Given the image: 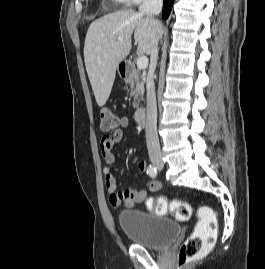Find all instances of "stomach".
<instances>
[{
    "label": "stomach",
    "instance_id": "1",
    "mask_svg": "<svg viewBox=\"0 0 265 269\" xmlns=\"http://www.w3.org/2000/svg\"><path fill=\"white\" fill-rule=\"evenodd\" d=\"M120 64H121V63L118 64V67H117L118 69H119V67H120Z\"/></svg>",
    "mask_w": 265,
    "mask_h": 269
}]
</instances>
